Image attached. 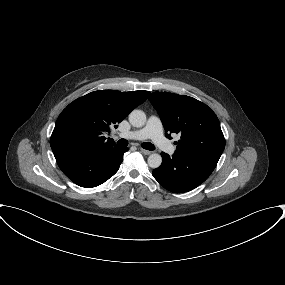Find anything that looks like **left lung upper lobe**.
<instances>
[{"mask_svg": "<svg viewBox=\"0 0 285 285\" xmlns=\"http://www.w3.org/2000/svg\"><path fill=\"white\" fill-rule=\"evenodd\" d=\"M149 100L157 110L165 129L180 135L175 153L217 165L225 148V139L215 113L204 103L174 93L154 92Z\"/></svg>", "mask_w": 285, "mask_h": 285, "instance_id": "left-lung-upper-lobe-1", "label": "left lung upper lobe"}]
</instances>
